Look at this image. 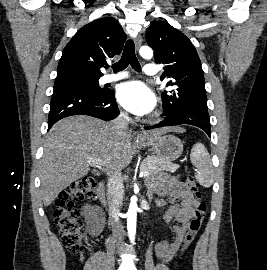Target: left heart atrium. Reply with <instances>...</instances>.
Listing matches in <instances>:
<instances>
[{"mask_svg": "<svg viewBox=\"0 0 267 270\" xmlns=\"http://www.w3.org/2000/svg\"><path fill=\"white\" fill-rule=\"evenodd\" d=\"M116 97L123 108L137 115L150 113L156 104L153 92L140 81L121 84L117 89Z\"/></svg>", "mask_w": 267, "mask_h": 270, "instance_id": "obj_1", "label": "left heart atrium"}]
</instances>
